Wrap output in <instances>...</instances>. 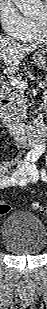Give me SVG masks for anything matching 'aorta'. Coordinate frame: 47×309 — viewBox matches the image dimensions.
Segmentation results:
<instances>
[{"label": "aorta", "instance_id": "aorta-1", "mask_svg": "<svg viewBox=\"0 0 47 309\" xmlns=\"http://www.w3.org/2000/svg\"><path fill=\"white\" fill-rule=\"evenodd\" d=\"M24 16H31L37 11V0H13Z\"/></svg>", "mask_w": 47, "mask_h": 309}]
</instances>
